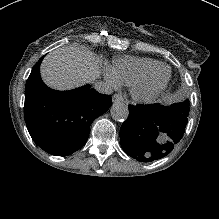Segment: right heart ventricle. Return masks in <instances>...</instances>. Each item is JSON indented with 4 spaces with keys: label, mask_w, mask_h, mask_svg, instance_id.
<instances>
[{
    "label": "right heart ventricle",
    "mask_w": 219,
    "mask_h": 219,
    "mask_svg": "<svg viewBox=\"0 0 219 219\" xmlns=\"http://www.w3.org/2000/svg\"><path fill=\"white\" fill-rule=\"evenodd\" d=\"M161 65L159 61L146 57H121L113 61L112 75L118 83L132 87Z\"/></svg>",
    "instance_id": "obj_1"
}]
</instances>
